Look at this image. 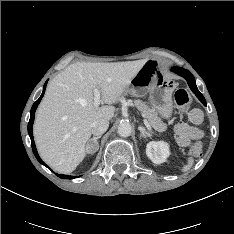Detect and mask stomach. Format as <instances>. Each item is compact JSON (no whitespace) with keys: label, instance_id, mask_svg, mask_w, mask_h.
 <instances>
[{"label":"stomach","instance_id":"stomach-1","mask_svg":"<svg viewBox=\"0 0 234 234\" xmlns=\"http://www.w3.org/2000/svg\"><path fill=\"white\" fill-rule=\"evenodd\" d=\"M175 82L163 71L156 61H146L131 80L128 93L143 97L149 94L152 107L165 119L172 115Z\"/></svg>","mask_w":234,"mask_h":234}]
</instances>
